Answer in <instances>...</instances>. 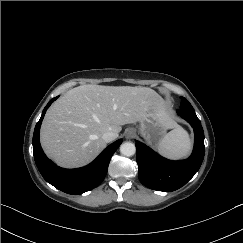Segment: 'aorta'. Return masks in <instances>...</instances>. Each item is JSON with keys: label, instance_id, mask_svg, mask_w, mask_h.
I'll list each match as a JSON object with an SVG mask.
<instances>
[{"label": "aorta", "instance_id": "obj_1", "mask_svg": "<svg viewBox=\"0 0 243 243\" xmlns=\"http://www.w3.org/2000/svg\"><path fill=\"white\" fill-rule=\"evenodd\" d=\"M120 152L124 156H132L136 152V147L132 142H124L120 146Z\"/></svg>", "mask_w": 243, "mask_h": 243}]
</instances>
